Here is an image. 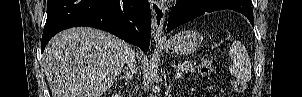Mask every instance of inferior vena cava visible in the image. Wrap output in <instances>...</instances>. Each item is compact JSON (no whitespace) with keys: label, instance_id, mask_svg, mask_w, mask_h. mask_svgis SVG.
<instances>
[{"label":"inferior vena cava","instance_id":"602c4592","mask_svg":"<svg viewBox=\"0 0 302 97\" xmlns=\"http://www.w3.org/2000/svg\"><path fill=\"white\" fill-rule=\"evenodd\" d=\"M125 63L127 65L126 68L130 70L131 75L135 74L136 73L135 51L131 46L128 47Z\"/></svg>","mask_w":302,"mask_h":97}]
</instances>
